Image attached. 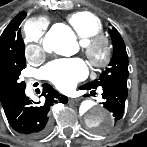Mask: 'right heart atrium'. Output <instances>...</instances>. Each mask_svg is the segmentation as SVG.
<instances>
[{"mask_svg":"<svg viewBox=\"0 0 147 147\" xmlns=\"http://www.w3.org/2000/svg\"><path fill=\"white\" fill-rule=\"evenodd\" d=\"M47 29L45 19H34L27 23L25 29L26 48L25 54L31 59L40 58L44 53L43 38Z\"/></svg>","mask_w":147,"mask_h":147,"instance_id":"d8ad5b80","label":"right heart atrium"}]
</instances>
